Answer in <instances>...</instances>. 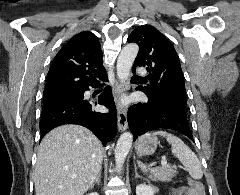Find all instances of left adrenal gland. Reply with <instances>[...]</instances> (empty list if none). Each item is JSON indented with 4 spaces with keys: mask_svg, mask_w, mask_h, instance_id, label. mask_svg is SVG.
I'll list each match as a JSON object with an SVG mask.
<instances>
[{
    "mask_svg": "<svg viewBox=\"0 0 240 195\" xmlns=\"http://www.w3.org/2000/svg\"><path fill=\"white\" fill-rule=\"evenodd\" d=\"M135 165V177H142V175H139L138 171H137V167H136V163H134ZM148 181V179H147Z\"/></svg>",
    "mask_w": 240,
    "mask_h": 195,
    "instance_id": "a2214340",
    "label": "left adrenal gland"
}]
</instances>
